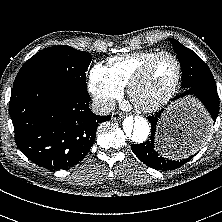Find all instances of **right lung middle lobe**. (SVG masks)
I'll list each match as a JSON object with an SVG mask.
<instances>
[{
  "label": "right lung middle lobe",
  "instance_id": "right-lung-middle-lobe-1",
  "mask_svg": "<svg viewBox=\"0 0 222 222\" xmlns=\"http://www.w3.org/2000/svg\"><path fill=\"white\" fill-rule=\"evenodd\" d=\"M92 61L89 52L65 45L49 47L32 56L16 79L42 76L86 90V71Z\"/></svg>",
  "mask_w": 222,
  "mask_h": 222
}]
</instances>
